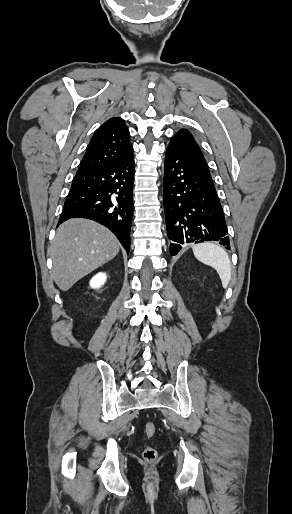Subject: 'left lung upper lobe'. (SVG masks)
Segmentation results:
<instances>
[{"label":"left lung upper lobe","instance_id":"left-lung-upper-lobe-1","mask_svg":"<svg viewBox=\"0 0 292 514\" xmlns=\"http://www.w3.org/2000/svg\"><path fill=\"white\" fill-rule=\"evenodd\" d=\"M170 144H179L187 149H189L194 157L197 159V162L208 169V165L204 158V155L196 142L194 136L187 129H180L172 138ZM209 170V169H208Z\"/></svg>","mask_w":292,"mask_h":514}]
</instances>
